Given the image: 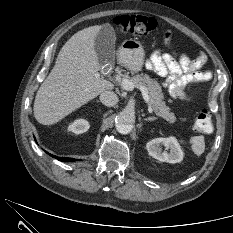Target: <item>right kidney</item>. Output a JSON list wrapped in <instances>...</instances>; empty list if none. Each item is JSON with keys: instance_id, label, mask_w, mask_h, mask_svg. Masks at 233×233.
Returning a JSON list of instances; mask_svg holds the SVG:
<instances>
[{"instance_id": "ca27d5eb", "label": "right kidney", "mask_w": 233, "mask_h": 233, "mask_svg": "<svg viewBox=\"0 0 233 233\" xmlns=\"http://www.w3.org/2000/svg\"><path fill=\"white\" fill-rule=\"evenodd\" d=\"M89 122L85 119H77L74 122L70 123L68 126V131H71L75 134H81L86 132L89 129Z\"/></svg>"}]
</instances>
